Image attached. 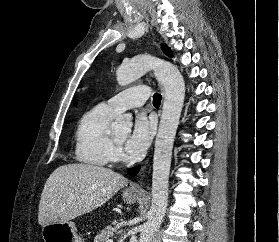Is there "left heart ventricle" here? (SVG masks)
Here are the masks:
<instances>
[{
	"instance_id": "1",
	"label": "left heart ventricle",
	"mask_w": 279,
	"mask_h": 242,
	"mask_svg": "<svg viewBox=\"0 0 279 242\" xmlns=\"http://www.w3.org/2000/svg\"><path fill=\"white\" fill-rule=\"evenodd\" d=\"M128 134H129V131H124V132L116 135L114 138L117 142L123 144L126 141Z\"/></svg>"
}]
</instances>
